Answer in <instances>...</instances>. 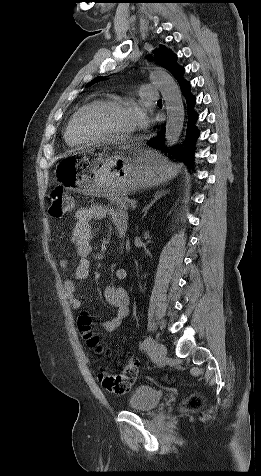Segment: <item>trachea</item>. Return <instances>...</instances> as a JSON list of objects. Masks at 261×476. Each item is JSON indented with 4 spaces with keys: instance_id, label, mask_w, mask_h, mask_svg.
<instances>
[{
    "instance_id": "3493384b",
    "label": "trachea",
    "mask_w": 261,
    "mask_h": 476,
    "mask_svg": "<svg viewBox=\"0 0 261 476\" xmlns=\"http://www.w3.org/2000/svg\"><path fill=\"white\" fill-rule=\"evenodd\" d=\"M158 102H162V100L160 99V100H158Z\"/></svg>"
}]
</instances>
